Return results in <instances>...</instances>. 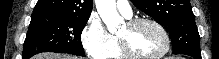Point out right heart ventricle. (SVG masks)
<instances>
[{"mask_svg": "<svg viewBox=\"0 0 219 59\" xmlns=\"http://www.w3.org/2000/svg\"><path fill=\"white\" fill-rule=\"evenodd\" d=\"M109 58H112V59H123L124 57L122 56L121 54V51H120V48H119V45L116 44L113 51L111 52Z\"/></svg>", "mask_w": 219, "mask_h": 59, "instance_id": "obj_1", "label": "right heart ventricle"}]
</instances>
